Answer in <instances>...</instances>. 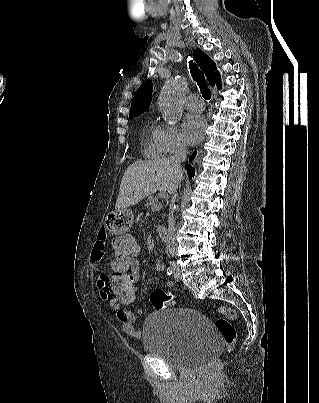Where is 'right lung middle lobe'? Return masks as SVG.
<instances>
[{
	"label": "right lung middle lobe",
	"instance_id": "dd1d6c3e",
	"mask_svg": "<svg viewBox=\"0 0 319 403\" xmlns=\"http://www.w3.org/2000/svg\"><path fill=\"white\" fill-rule=\"evenodd\" d=\"M134 117H136V116L130 117V119H133Z\"/></svg>",
	"mask_w": 319,
	"mask_h": 403
}]
</instances>
